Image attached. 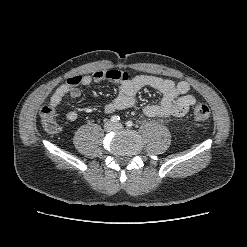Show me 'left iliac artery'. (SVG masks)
<instances>
[{
    "label": "left iliac artery",
    "mask_w": 247,
    "mask_h": 247,
    "mask_svg": "<svg viewBox=\"0 0 247 247\" xmlns=\"http://www.w3.org/2000/svg\"><path fill=\"white\" fill-rule=\"evenodd\" d=\"M126 126L127 127H132L133 126V122L132 121H127L126 122Z\"/></svg>",
    "instance_id": "obj_1"
}]
</instances>
